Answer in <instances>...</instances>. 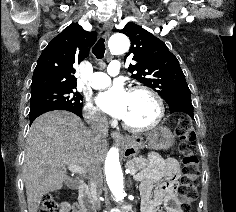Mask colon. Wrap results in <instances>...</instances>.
<instances>
[{"instance_id":"obj_1","label":"colon","mask_w":236,"mask_h":212,"mask_svg":"<svg viewBox=\"0 0 236 212\" xmlns=\"http://www.w3.org/2000/svg\"><path fill=\"white\" fill-rule=\"evenodd\" d=\"M181 139L179 152L182 156L183 175L179 194L183 200V212H190L191 204L198 198V180L200 175L199 159L195 154L196 136L192 129V121L188 117L179 120L177 131ZM59 203L53 195L47 194L42 198L38 212H57Z\"/></svg>"}]
</instances>
